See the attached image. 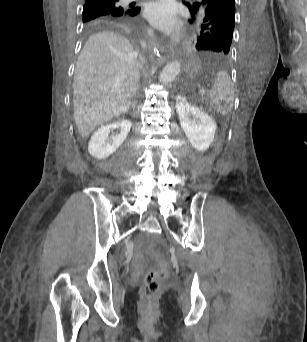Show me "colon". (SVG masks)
<instances>
[{
	"label": "colon",
	"mask_w": 307,
	"mask_h": 342,
	"mask_svg": "<svg viewBox=\"0 0 307 342\" xmlns=\"http://www.w3.org/2000/svg\"><path fill=\"white\" fill-rule=\"evenodd\" d=\"M153 266L154 269H146L145 281H142L143 307H156L157 288L162 287V279L169 273V266L163 261H154Z\"/></svg>",
	"instance_id": "colon-1"
}]
</instances>
